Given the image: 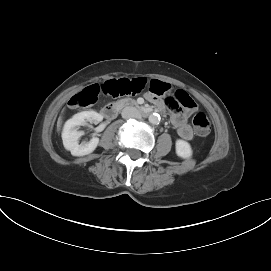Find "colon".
Here are the masks:
<instances>
[{
  "mask_svg": "<svg viewBox=\"0 0 271 271\" xmlns=\"http://www.w3.org/2000/svg\"><path fill=\"white\" fill-rule=\"evenodd\" d=\"M149 86V82L144 78L135 79H114L105 82L102 85L93 84L74 95L69 100L71 108H83L93 105L102 92L114 97L129 96L140 93ZM169 90V85L167 91ZM161 97L163 95H156ZM167 103L173 111L180 112L181 107L192 109L194 108L193 100L184 92L177 91L173 97L167 98ZM193 126L200 136H206L210 132V121L205 113L196 112L193 117Z\"/></svg>",
  "mask_w": 271,
  "mask_h": 271,
  "instance_id": "colon-1",
  "label": "colon"
}]
</instances>
